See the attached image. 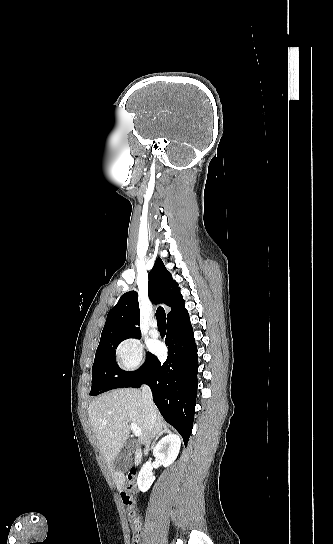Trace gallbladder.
I'll list each match as a JSON object with an SVG mask.
<instances>
[{
  "label": "gallbladder",
  "mask_w": 333,
  "mask_h": 544,
  "mask_svg": "<svg viewBox=\"0 0 333 544\" xmlns=\"http://www.w3.org/2000/svg\"><path fill=\"white\" fill-rule=\"evenodd\" d=\"M135 448L136 443L134 441H126L118 455L115 457L113 461V467L122 471H126L130 465L131 455L134 452Z\"/></svg>",
  "instance_id": "obj_1"
}]
</instances>
